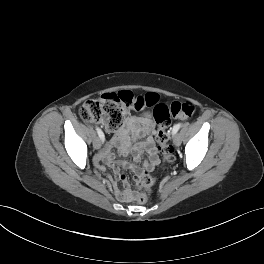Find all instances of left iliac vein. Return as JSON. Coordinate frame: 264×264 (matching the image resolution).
Wrapping results in <instances>:
<instances>
[{
	"label": "left iliac vein",
	"instance_id": "4c4485c4",
	"mask_svg": "<svg viewBox=\"0 0 264 264\" xmlns=\"http://www.w3.org/2000/svg\"><path fill=\"white\" fill-rule=\"evenodd\" d=\"M173 143L175 146H179L181 144V138H180L179 134H174Z\"/></svg>",
	"mask_w": 264,
	"mask_h": 264
}]
</instances>
